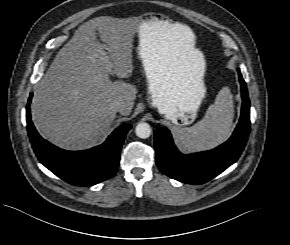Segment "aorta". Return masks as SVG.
Here are the masks:
<instances>
[{
	"mask_svg": "<svg viewBox=\"0 0 290 245\" xmlns=\"http://www.w3.org/2000/svg\"><path fill=\"white\" fill-rule=\"evenodd\" d=\"M135 132L139 138L146 139L150 137L152 131L148 123L141 122L137 124Z\"/></svg>",
	"mask_w": 290,
	"mask_h": 245,
	"instance_id": "aorta-1",
	"label": "aorta"
}]
</instances>
